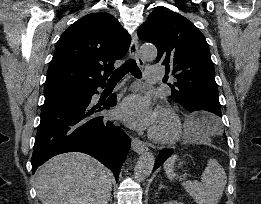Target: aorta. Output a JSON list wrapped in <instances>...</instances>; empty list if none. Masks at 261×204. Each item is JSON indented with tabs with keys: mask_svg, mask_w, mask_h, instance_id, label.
<instances>
[{
	"mask_svg": "<svg viewBox=\"0 0 261 204\" xmlns=\"http://www.w3.org/2000/svg\"><path fill=\"white\" fill-rule=\"evenodd\" d=\"M141 57L144 60H154L157 56V49L153 45H143L140 48ZM155 158L150 152L143 154L137 161L134 169V178L136 181L145 180L152 172Z\"/></svg>",
	"mask_w": 261,
	"mask_h": 204,
	"instance_id": "762f6f07",
	"label": "aorta"
}]
</instances>
